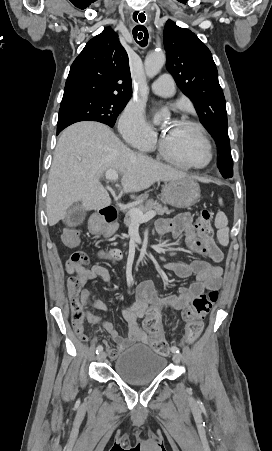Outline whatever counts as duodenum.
Segmentation results:
<instances>
[{
	"instance_id": "duodenum-1",
	"label": "duodenum",
	"mask_w": 272,
	"mask_h": 451,
	"mask_svg": "<svg viewBox=\"0 0 272 451\" xmlns=\"http://www.w3.org/2000/svg\"><path fill=\"white\" fill-rule=\"evenodd\" d=\"M117 218V210L112 205L103 207L99 215L90 223V231L93 235L105 236L108 232V226Z\"/></svg>"
}]
</instances>
